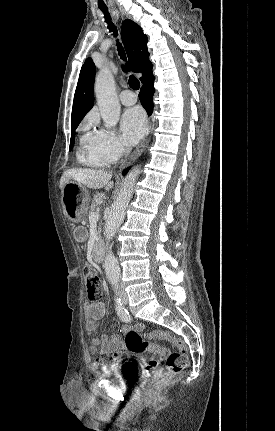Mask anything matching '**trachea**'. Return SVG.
I'll return each mask as SVG.
<instances>
[{
    "instance_id": "obj_1",
    "label": "trachea",
    "mask_w": 275,
    "mask_h": 431,
    "mask_svg": "<svg viewBox=\"0 0 275 431\" xmlns=\"http://www.w3.org/2000/svg\"><path fill=\"white\" fill-rule=\"evenodd\" d=\"M100 9L104 13L105 21L108 23V28H109L110 32H114V36H117V29H116L115 25L111 22V17L109 15V13L107 12V8H100ZM117 45H118V51H119L120 57L125 60L126 55H125L123 48L121 47L120 43H117ZM128 84L133 90H138L140 87L139 80L136 77H134L133 75H131L129 77Z\"/></svg>"
}]
</instances>
